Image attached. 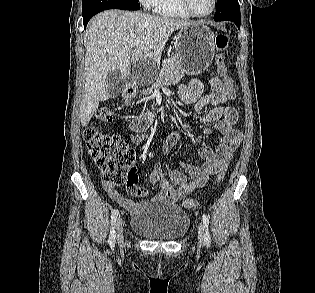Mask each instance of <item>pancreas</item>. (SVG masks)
<instances>
[{"mask_svg": "<svg viewBox=\"0 0 315 293\" xmlns=\"http://www.w3.org/2000/svg\"><path fill=\"white\" fill-rule=\"evenodd\" d=\"M183 76L184 71L181 65V59L179 57L168 59L162 64L160 74L155 79L152 86L144 89L141 94L144 96H149L153 93L155 88L177 83L183 78Z\"/></svg>", "mask_w": 315, "mask_h": 293, "instance_id": "pancreas-1", "label": "pancreas"}]
</instances>
